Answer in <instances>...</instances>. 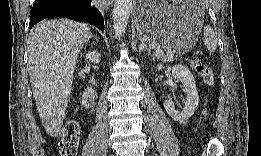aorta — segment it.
Listing matches in <instances>:
<instances>
[{
  "label": "aorta",
  "instance_id": "obj_1",
  "mask_svg": "<svg viewBox=\"0 0 261 156\" xmlns=\"http://www.w3.org/2000/svg\"><path fill=\"white\" fill-rule=\"evenodd\" d=\"M133 5V0H115L114 2L113 29L119 39L126 30Z\"/></svg>",
  "mask_w": 261,
  "mask_h": 156
}]
</instances>
